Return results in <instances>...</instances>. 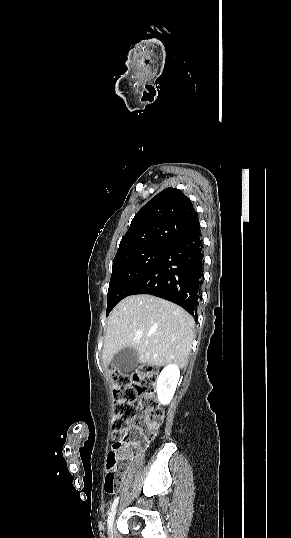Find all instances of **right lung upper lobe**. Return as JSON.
Listing matches in <instances>:
<instances>
[{"instance_id": "1", "label": "right lung upper lobe", "mask_w": 291, "mask_h": 538, "mask_svg": "<svg viewBox=\"0 0 291 538\" xmlns=\"http://www.w3.org/2000/svg\"><path fill=\"white\" fill-rule=\"evenodd\" d=\"M198 230V213L190 199L181 190L169 187L138 211L116 256L148 245L172 247Z\"/></svg>"}]
</instances>
